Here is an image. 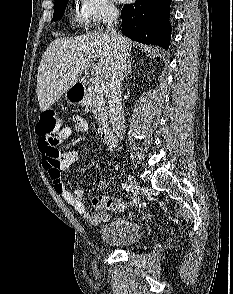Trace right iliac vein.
Returning a JSON list of instances; mask_svg holds the SVG:
<instances>
[{"label": "right iliac vein", "mask_w": 233, "mask_h": 294, "mask_svg": "<svg viewBox=\"0 0 233 294\" xmlns=\"http://www.w3.org/2000/svg\"><path fill=\"white\" fill-rule=\"evenodd\" d=\"M128 180L130 182V186L132 187V189L134 191V197H135L134 201L137 204L140 199V194H141L142 188H141L140 184L136 181V179L131 174L128 175Z\"/></svg>", "instance_id": "obj_1"}]
</instances>
